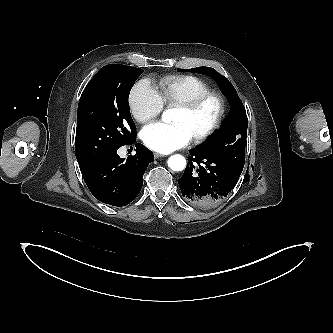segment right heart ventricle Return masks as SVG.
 Returning a JSON list of instances; mask_svg holds the SVG:
<instances>
[{
	"label": "right heart ventricle",
	"instance_id": "right-heart-ventricle-1",
	"mask_svg": "<svg viewBox=\"0 0 333 333\" xmlns=\"http://www.w3.org/2000/svg\"><path fill=\"white\" fill-rule=\"evenodd\" d=\"M211 91L203 79L192 75L167 76L159 82V95L164 104L178 106Z\"/></svg>",
	"mask_w": 333,
	"mask_h": 333
}]
</instances>
